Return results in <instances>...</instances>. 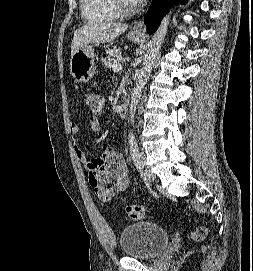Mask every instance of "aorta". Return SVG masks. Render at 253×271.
Segmentation results:
<instances>
[{
    "label": "aorta",
    "instance_id": "762f6f07",
    "mask_svg": "<svg viewBox=\"0 0 253 271\" xmlns=\"http://www.w3.org/2000/svg\"><path fill=\"white\" fill-rule=\"evenodd\" d=\"M170 12L166 14L158 29L153 34L152 39L149 42L147 53L144 56V60L142 63V67L139 71V74L137 76V79L135 81V86L133 88V91L131 93V102H130V122L131 124L134 122V115L136 112V108L139 102V99L141 97V94L143 92V89L148 81V78L151 74L152 68L154 67L155 59L157 55L159 54V51L161 49V46L165 40L168 27L170 24ZM134 134L133 132H129V139L133 140Z\"/></svg>",
    "mask_w": 253,
    "mask_h": 271
}]
</instances>
